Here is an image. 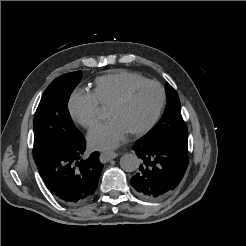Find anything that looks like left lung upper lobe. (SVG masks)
Instances as JSON below:
<instances>
[{"label": "left lung upper lobe", "instance_id": "5c2ea615", "mask_svg": "<svg viewBox=\"0 0 246 246\" xmlns=\"http://www.w3.org/2000/svg\"><path fill=\"white\" fill-rule=\"evenodd\" d=\"M168 102L159 122L143 138L150 142L170 137L187 138V126L181 115L179 97L171 85L165 87Z\"/></svg>", "mask_w": 246, "mask_h": 246}]
</instances>
